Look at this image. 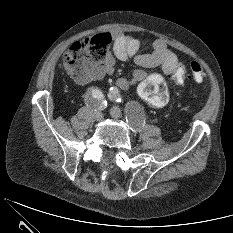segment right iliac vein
<instances>
[{
    "instance_id": "obj_1",
    "label": "right iliac vein",
    "mask_w": 233,
    "mask_h": 233,
    "mask_svg": "<svg viewBox=\"0 0 233 233\" xmlns=\"http://www.w3.org/2000/svg\"><path fill=\"white\" fill-rule=\"evenodd\" d=\"M94 115L97 121H101L104 118V115L101 111H96Z\"/></svg>"
}]
</instances>
